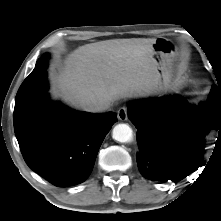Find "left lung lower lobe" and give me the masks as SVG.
Wrapping results in <instances>:
<instances>
[{
	"label": "left lung lower lobe",
	"mask_w": 221,
	"mask_h": 221,
	"mask_svg": "<svg viewBox=\"0 0 221 221\" xmlns=\"http://www.w3.org/2000/svg\"><path fill=\"white\" fill-rule=\"evenodd\" d=\"M128 116L138 130L140 173L176 182L205 165L204 136L211 129L219 130L221 143V86L213 85L208 100L197 107L171 96L132 103Z\"/></svg>",
	"instance_id": "0a47b994"
}]
</instances>
